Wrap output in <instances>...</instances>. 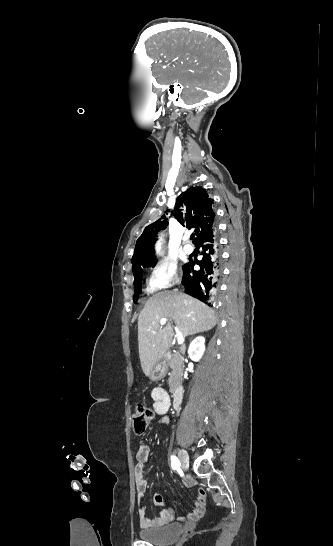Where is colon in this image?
I'll list each match as a JSON object with an SVG mask.
<instances>
[{
	"instance_id": "obj_1",
	"label": "colon",
	"mask_w": 333,
	"mask_h": 546,
	"mask_svg": "<svg viewBox=\"0 0 333 546\" xmlns=\"http://www.w3.org/2000/svg\"><path fill=\"white\" fill-rule=\"evenodd\" d=\"M154 417L152 409L145 405H137L132 415V427L136 435L145 433Z\"/></svg>"
}]
</instances>
